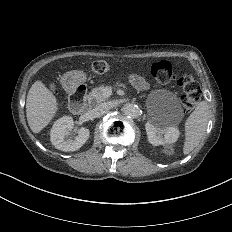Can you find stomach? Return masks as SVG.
<instances>
[{
	"label": "stomach",
	"instance_id": "0dacf381",
	"mask_svg": "<svg viewBox=\"0 0 232 232\" xmlns=\"http://www.w3.org/2000/svg\"><path fill=\"white\" fill-rule=\"evenodd\" d=\"M78 78H79V79H78L79 82L84 81V80H83V73H81L80 75H78Z\"/></svg>",
	"mask_w": 232,
	"mask_h": 232
}]
</instances>
